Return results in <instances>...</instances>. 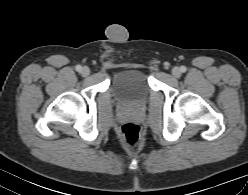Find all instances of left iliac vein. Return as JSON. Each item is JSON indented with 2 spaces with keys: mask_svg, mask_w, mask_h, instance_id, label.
I'll return each mask as SVG.
<instances>
[{
  "mask_svg": "<svg viewBox=\"0 0 248 195\" xmlns=\"http://www.w3.org/2000/svg\"><path fill=\"white\" fill-rule=\"evenodd\" d=\"M172 75L176 78H179L181 76V70L178 67H174L172 69Z\"/></svg>",
  "mask_w": 248,
  "mask_h": 195,
  "instance_id": "4c4485c4",
  "label": "left iliac vein"
}]
</instances>
